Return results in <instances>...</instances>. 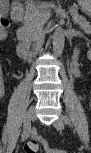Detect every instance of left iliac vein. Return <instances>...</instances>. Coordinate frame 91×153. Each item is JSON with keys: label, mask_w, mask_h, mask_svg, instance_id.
<instances>
[{"label": "left iliac vein", "mask_w": 91, "mask_h": 153, "mask_svg": "<svg viewBox=\"0 0 91 153\" xmlns=\"http://www.w3.org/2000/svg\"><path fill=\"white\" fill-rule=\"evenodd\" d=\"M54 127L58 130V131H62L64 129V121L62 119V117L58 118L57 120H55L53 122Z\"/></svg>", "instance_id": "1"}]
</instances>
